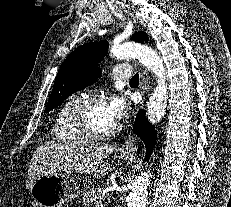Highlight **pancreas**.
<instances>
[{
	"label": "pancreas",
	"mask_w": 231,
	"mask_h": 207,
	"mask_svg": "<svg viewBox=\"0 0 231 207\" xmlns=\"http://www.w3.org/2000/svg\"><path fill=\"white\" fill-rule=\"evenodd\" d=\"M103 190L101 188H92L84 192L82 197V203L85 206L100 203L102 200Z\"/></svg>",
	"instance_id": "pancreas-1"
}]
</instances>
